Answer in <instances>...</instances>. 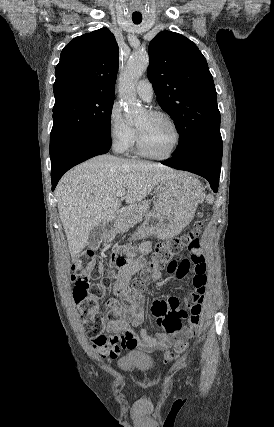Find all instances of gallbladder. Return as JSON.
Segmentation results:
<instances>
[{
	"label": "gallbladder",
	"mask_w": 274,
	"mask_h": 427,
	"mask_svg": "<svg viewBox=\"0 0 274 427\" xmlns=\"http://www.w3.org/2000/svg\"><path fill=\"white\" fill-rule=\"evenodd\" d=\"M103 231L104 225H97V227H93V229H90L87 243L90 249H98L103 239Z\"/></svg>",
	"instance_id": "obj_1"
}]
</instances>
